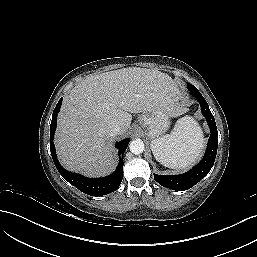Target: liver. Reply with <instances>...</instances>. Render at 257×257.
Wrapping results in <instances>:
<instances>
[{
    "instance_id": "1",
    "label": "liver",
    "mask_w": 257,
    "mask_h": 257,
    "mask_svg": "<svg viewBox=\"0 0 257 257\" xmlns=\"http://www.w3.org/2000/svg\"><path fill=\"white\" fill-rule=\"evenodd\" d=\"M178 89L160 71L129 67L87 77L64 98L58 116L55 145L61 163L86 176H101L115 164L111 128L124 135L130 113L160 105L169 116L183 114Z\"/></svg>"
}]
</instances>
